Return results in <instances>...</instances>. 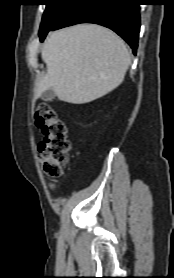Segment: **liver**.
<instances>
[{
	"label": "liver",
	"instance_id": "6515ba94",
	"mask_svg": "<svg viewBox=\"0 0 174 278\" xmlns=\"http://www.w3.org/2000/svg\"><path fill=\"white\" fill-rule=\"evenodd\" d=\"M41 57L45 77L35 89V98L53 89L59 100L73 104L94 101L117 88L130 65L125 42L110 29L80 24L52 32Z\"/></svg>",
	"mask_w": 174,
	"mask_h": 278
}]
</instances>
